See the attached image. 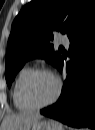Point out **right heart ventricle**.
Returning a JSON list of instances; mask_svg holds the SVG:
<instances>
[{"label":"right heart ventricle","instance_id":"e07e8e85","mask_svg":"<svg viewBox=\"0 0 95 130\" xmlns=\"http://www.w3.org/2000/svg\"><path fill=\"white\" fill-rule=\"evenodd\" d=\"M30 72V68L28 67H23L19 72L18 75L15 79L14 85H13V89H12V100H13V104L16 107V109H18L19 111L22 112H27L30 111L31 108L28 107L21 98L20 95V88H21V84L24 80V78L26 77V75Z\"/></svg>","mask_w":95,"mask_h":130}]
</instances>
